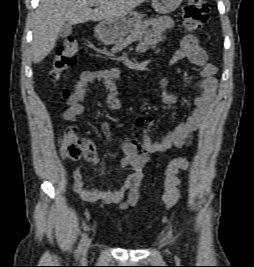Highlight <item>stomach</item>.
I'll return each mask as SVG.
<instances>
[{"label": "stomach", "instance_id": "0dacf381", "mask_svg": "<svg viewBox=\"0 0 254 267\" xmlns=\"http://www.w3.org/2000/svg\"><path fill=\"white\" fill-rule=\"evenodd\" d=\"M183 0H152V7L159 14H169L175 11ZM143 15L131 11L124 16L101 21L97 26L98 37L105 43L122 41L141 24Z\"/></svg>", "mask_w": 254, "mask_h": 267}]
</instances>
